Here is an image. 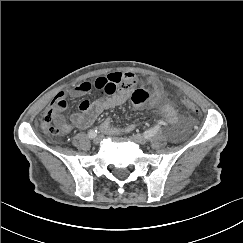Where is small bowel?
<instances>
[{"label":"small bowel","mask_w":243,"mask_h":243,"mask_svg":"<svg viewBox=\"0 0 243 243\" xmlns=\"http://www.w3.org/2000/svg\"><path fill=\"white\" fill-rule=\"evenodd\" d=\"M123 82L128 84L122 85ZM136 77L132 73H111L107 76H99L94 80H85L67 91L57 94L48 110H53L56 114L55 123L60 126L63 133L69 132L73 127L86 129L91 126L99 115L103 112L119 107L131 98L134 105L144 103L149 94L144 89H135ZM153 87V97L158 100L162 95V88L158 81H149ZM92 90H97L101 96L95 100H83L80 102L78 112L71 116L70 123H67L60 111L66 108V96L78 98L89 94ZM163 114L171 123L178 122V115L173 107L164 105L162 107ZM101 129L106 132H116L120 130L132 131L133 125H127L122 129L113 128L108 121L101 124Z\"/></svg>","instance_id":"obj_1"}]
</instances>
